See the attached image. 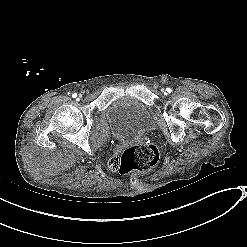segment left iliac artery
<instances>
[{
    "label": "left iliac artery",
    "mask_w": 247,
    "mask_h": 247,
    "mask_svg": "<svg viewBox=\"0 0 247 247\" xmlns=\"http://www.w3.org/2000/svg\"><path fill=\"white\" fill-rule=\"evenodd\" d=\"M166 91H167L168 93H170L172 90H171V88H166Z\"/></svg>",
    "instance_id": "1"
}]
</instances>
